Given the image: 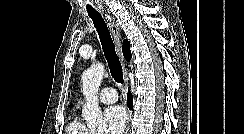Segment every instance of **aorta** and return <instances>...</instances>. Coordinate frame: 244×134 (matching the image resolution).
I'll return each instance as SVG.
<instances>
[{
  "label": "aorta",
  "mask_w": 244,
  "mask_h": 134,
  "mask_svg": "<svg viewBox=\"0 0 244 134\" xmlns=\"http://www.w3.org/2000/svg\"><path fill=\"white\" fill-rule=\"evenodd\" d=\"M104 65L96 63L82 74L83 95L86 104L82 109V116L89 128L103 129L106 121L103 119L101 108L98 104V92L104 75Z\"/></svg>",
  "instance_id": "aorta-1"
}]
</instances>
